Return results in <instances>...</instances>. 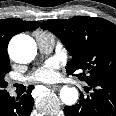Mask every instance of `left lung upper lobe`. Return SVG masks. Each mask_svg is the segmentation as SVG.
Segmentation results:
<instances>
[{
	"instance_id": "obj_1",
	"label": "left lung upper lobe",
	"mask_w": 116,
	"mask_h": 116,
	"mask_svg": "<svg viewBox=\"0 0 116 116\" xmlns=\"http://www.w3.org/2000/svg\"><path fill=\"white\" fill-rule=\"evenodd\" d=\"M42 29L53 32L64 43L72 60L66 70L81 80L93 83L116 79V25L101 19L75 16L47 20Z\"/></svg>"
}]
</instances>
